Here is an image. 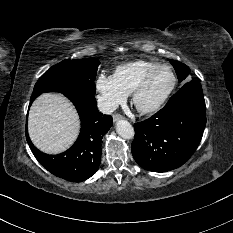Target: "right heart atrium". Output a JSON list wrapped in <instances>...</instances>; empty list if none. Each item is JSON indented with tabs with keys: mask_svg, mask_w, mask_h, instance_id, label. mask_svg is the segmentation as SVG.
<instances>
[{
	"mask_svg": "<svg viewBox=\"0 0 233 233\" xmlns=\"http://www.w3.org/2000/svg\"><path fill=\"white\" fill-rule=\"evenodd\" d=\"M95 90L97 92L98 103L105 111L114 110L128 97V94L117 83L114 76L104 72L97 75Z\"/></svg>",
	"mask_w": 233,
	"mask_h": 233,
	"instance_id": "right-heart-atrium-1",
	"label": "right heart atrium"
}]
</instances>
